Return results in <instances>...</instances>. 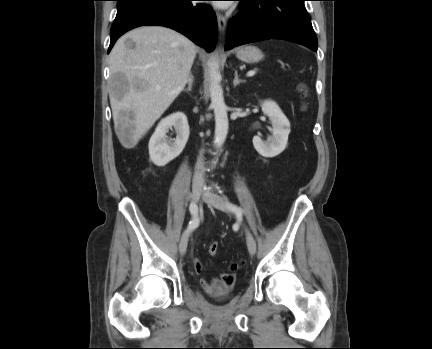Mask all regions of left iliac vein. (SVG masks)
Listing matches in <instances>:
<instances>
[{
	"mask_svg": "<svg viewBox=\"0 0 432 349\" xmlns=\"http://www.w3.org/2000/svg\"><path fill=\"white\" fill-rule=\"evenodd\" d=\"M203 200L208 204L214 206L215 208L221 209L226 212H231L230 208L228 207V200L224 197L218 196L210 192H206L203 196ZM244 231L246 235V242L249 253L253 256L256 253V241L252 233L247 228H244Z\"/></svg>",
	"mask_w": 432,
	"mask_h": 349,
	"instance_id": "left-iliac-vein-1",
	"label": "left iliac vein"
}]
</instances>
